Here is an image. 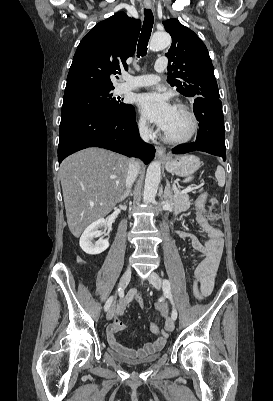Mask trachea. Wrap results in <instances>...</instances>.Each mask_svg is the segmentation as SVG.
Returning a JSON list of instances; mask_svg holds the SVG:
<instances>
[{
	"label": "trachea",
	"instance_id": "3493384b",
	"mask_svg": "<svg viewBox=\"0 0 273 401\" xmlns=\"http://www.w3.org/2000/svg\"><path fill=\"white\" fill-rule=\"evenodd\" d=\"M144 15H145V18H144L142 30L140 33L138 46H137V57L146 55L147 45L149 42V38L151 36L152 27H153V23H154V17H153L152 10H148L145 8Z\"/></svg>",
	"mask_w": 273,
	"mask_h": 401
}]
</instances>
